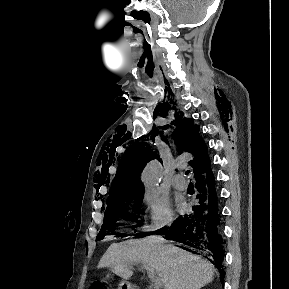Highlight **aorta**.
<instances>
[{
    "label": "aorta",
    "mask_w": 289,
    "mask_h": 289,
    "mask_svg": "<svg viewBox=\"0 0 289 289\" xmlns=\"http://www.w3.org/2000/svg\"><path fill=\"white\" fill-rule=\"evenodd\" d=\"M161 180V165L158 161H152L145 167L142 173V182L146 189L156 188Z\"/></svg>",
    "instance_id": "1"
}]
</instances>
